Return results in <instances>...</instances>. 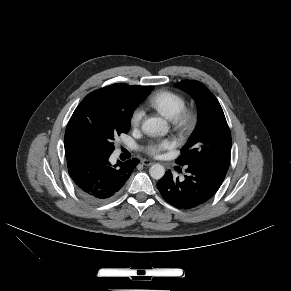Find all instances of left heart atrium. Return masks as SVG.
<instances>
[{
	"mask_svg": "<svg viewBox=\"0 0 291 291\" xmlns=\"http://www.w3.org/2000/svg\"><path fill=\"white\" fill-rule=\"evenodd\" d=\"M173 146H174V143L168 139L151 141L147 146V152L150 155L157 156L162 151L170 149Z\"/></svg>",
	"mask_w": 291,
	"mask_h": 291,
	"instance_id": "39dd6f15",
	"label": "left heart atrium"
}]
</instances>
